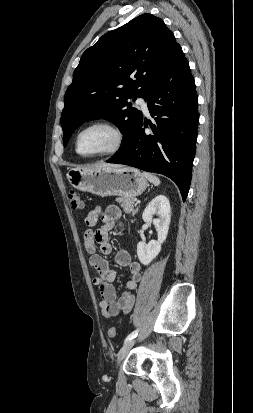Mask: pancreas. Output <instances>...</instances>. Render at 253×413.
Listing matches in <instances>:
<instances>
[{"label":"pancreas","mask_w":253,"mask_h":413,"mask_svg":"<svg viewBox=\"0 0 253 413\" xmlns=\"http://www.w3.org/2000/svg\"><path fill=\"white\" fill-rule=\"evenodd\" d=\"M116 202L120 204L123 208V211L127 214H135L136 210L134 209V198L133 197H119L116 198Z\"/></svg>","instance_id":"cf45deb5"}]
</instances>
